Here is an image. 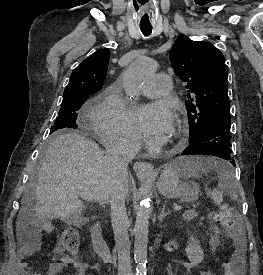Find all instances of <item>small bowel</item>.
<instances>
[{
  "mask_svg": "<svg viewBox=\"0 0 263 275\" xmlns=\"http://www.w3.org/2000/svg\"><path fill=\"white\" fill-rule=\"evenodd\" d=\"M211 236H210V246L215 247L219 243V231L216 227H209ZM40 246V241L38 236H33L27 244L23 246V260L19 263V269L21 275H41L35 271H32L27 261L28 258L35 250H37ZM68 264H74L76 267V272L74 275H85L86 265L83 263H77L69 256L64 254V250L61 246H56L52 253V263L50 264L48 275H57L59 274L63 268ZM209 275H215L210 272Z\"/></svg>",
  "mask_w": 263,
  "mask_h": 275,
  "instance_id": "small-bowel-1",
  "label": "small bowel"
}]
</instances>
